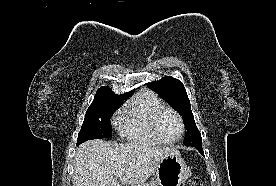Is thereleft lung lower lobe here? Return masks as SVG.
I'll return each instance as SVG.
<instances>
[{"label": "left lung lower lobe", "instance_id": "obj_1", "mask_svg": "<svg viewBox=\"0 0 276 186\" xmlns=\"http://www.w3.org/2000/svg\"><path fill=\"white\" fill-rule=\"evenodd\" d=\"M192 147H195L202 155H204V152L202 150V144L201 145H195V146H192Z\"/></svg>", "mask_w": 276, "mask_h": 186}]
</instances>
